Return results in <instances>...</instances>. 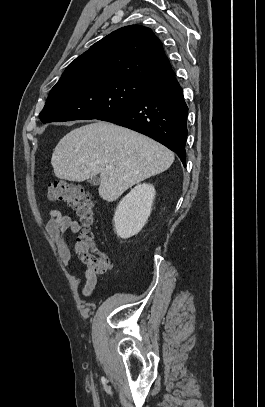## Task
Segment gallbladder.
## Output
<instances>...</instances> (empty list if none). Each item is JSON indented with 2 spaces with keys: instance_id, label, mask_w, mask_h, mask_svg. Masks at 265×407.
I'll return each mask as SVG.
<instances>
[{
  "instance_id": "1",
  "label": "gallbladder",
  "mask_w": 265,
  "mask_h": 407,
  "mask_svg": "<svg viewBox=\"0 0 265 407\" xmlns=\"http://www.w3.org/2000/svg\"><path fill=\"white\" fill-rule=\"evenodd\" d=\"M100 182V179L98 177H93L91 179L88 180V183L95 186L98 185Z\"/></svg>"
}]
</instances>
